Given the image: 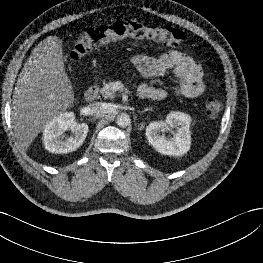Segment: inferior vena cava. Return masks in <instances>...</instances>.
Returning <instances> with one entry per match:
<instances>
[{
    "label": "inferior vena cava",
    "instance_id": "obj_1",
    "mask_svg": "<svg viewBox=\"0 0 263 263\" xmlns=\"http://www.w3.org/2000/svg\"><path fill=\"white\" fill-rule=\"evenodd\" d=\"M89 114L99 115L106 110V104L103 102H93L88 106Z\"/></svg>",
    "mask_w": 263,
    "mask_h": 263
}]
</instances>
